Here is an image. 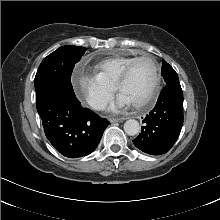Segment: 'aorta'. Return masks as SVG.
<instances>
[{
  "instance_id": "762f6f07",
  "label": "aorta",
  "mask_w": 220,
  "mask_h": 220,
  "mask_svg": "<svg viewBox=\"0 0 220 220\" xmlns=\"http://www.w3.org/2000/svg\"><path fill=\"white\" fill-rule=\"evenodd\" d=\"M124 131L129 136H134L139 133L140 125L137 120L129 119L124 123Z\"/></svg>"
}]
</instances>
